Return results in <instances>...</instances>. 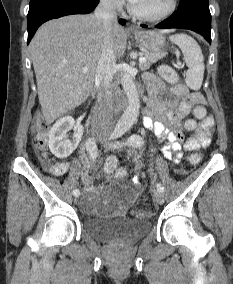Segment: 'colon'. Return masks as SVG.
<instances>
[{
  "label": "colon",
  "mask_w": 233,
  "mask_h": 284,
  "mask_svg": "<svg viewBox=\"0 0 233 284\" xmlns=\"http://www.w3.org/2000/svg\"><path fill=\"white\" fill-rule=\"evenodd\" d=\"M159 74L161 77L171 84H176L179 80L177 72L169 65H161L159 67ZM194 116L196 119H202L206 116V110L202 106H197L194 108ZM197 127L195 119H188L185 122V129L188 131H193ZM48 131L49 124L43 120L39 119L34 127L35 138L34 145L39 151H44L47 147L48 141ZM201 160V156L198 153H193L189 157V161L192 164H196ZM104 170L107 174H112L118 179H122L126 176V169L119 165L118 159L116 157H108L105 161ZM150 212L147 209H139L136 211L138 216L148 215Z\"/></svg>",
  "instance_id": "5ec220e1"
}]
</instances>
